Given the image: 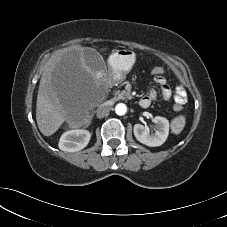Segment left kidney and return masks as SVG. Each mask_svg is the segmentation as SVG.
Instances as JSON below:
<instances>
[{
    "mask_svg": "<svg viewBox=\"0 0 227 227\" xmlns=\"http://www.w3.org/2000/svg\"><path fill=\"white\" fill-rule=\"evenodd\" d=\"M156 124V130L150 134L149 128L141 124L134 125V135L136 139L149 147L161 146L167 139L169 134V121L161 116L153 119Z\"/></svg>",
    "mask_w": 227,
    "mask_h": 227,
    "instance_id": "left-kidney-1",
    "label": "left kidney"
}]
</instances>
